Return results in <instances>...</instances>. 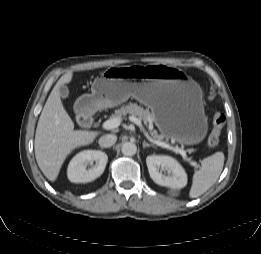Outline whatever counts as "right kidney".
Instances as JSON below:
<instances>
[{
  "label": "right kidney",
  "mask_w": 261,
  "mask_h": 254,
  "mask_svg": "<svg viewBox=\"0 0 261 254\" xmlns=\"http://www.w3.org/2000/svg\"><path fill=\"white\" fill-rule=\"evenodd\" d=\"M108 156L99 150H85L75 155L69 163L67 176L73 183L91 182L104 172ZM95 162L90 169H86L89 163Z\"/></svg>",
  "instance_id": "ca27d5eb"
}]
</instances>
